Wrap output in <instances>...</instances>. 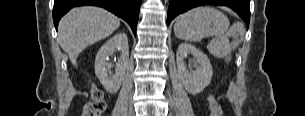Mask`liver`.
<instances>
[{
    "label": "liver",
    "instance_id": "1",
    "mask_svg": "<svg viewBox=\"0 0 305 116\" xmlns=\"http://www.w3.org/2000/svg\"><path fill=\"white\" fill-rule=\"evenodd\" d=\"M119 26L120 19L103 8L75 7L60 20L58 42L76 66L78 55L86 47L108 37Z\"/></svg>",
    "mask_w": 305,
    "mask_h": 116
}]
</instances>
